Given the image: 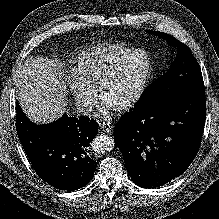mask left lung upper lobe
I'll list each match as a JSON object with an SVG mask.
<instances>
[{
    "label": "left lung upper lobe",
    "mask_w": 219,
    "mask_h": 219,
    "mask_svg": "<svg viewBox=\"0 0 219 219\" xmlns=\"http://www.w3.org/2000/svg\"><path fill=\"white\" fill-rule=\"evenodd\" d=\"M152 33L166 40L171 46L177 47V57L167 73L145 90L134 107L150 110L175 97L204 91L201 69L190 48L169 34L158 31Z\"/></svg>",
    "instance_id": "left-lung-upper-lobe-1"
}]
</instances>
